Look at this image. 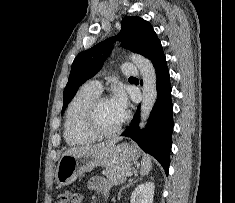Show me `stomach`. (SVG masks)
<instances>
[{
    "label": "stomach",
    "mask_w": 235,
    "mask_h": 203,
    "mask_svg": "<svg viewBox=\"0 0 235 203\" xmlns=\"http://www.w3.org/2000/svg\"><path fill=\"white\" fill-rule=\"evenodd\" d=\"M138 157L137 148L128 143L63 155L57 166L56 181L62 186L69 185L80 175L90 172L97 166L129 164Z\"/></svg>",
    "instance_id": "obj_1"
}]
</instances>
